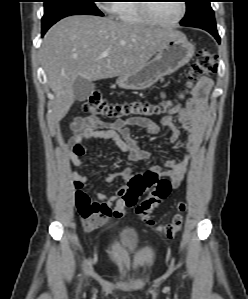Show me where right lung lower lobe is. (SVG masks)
I'll return each instance as SVG.
<instances>
[{"instance_id": "1", "label": "right lung lower lobe", "mask_w": 248, "mask_h": 299, "mask_svg": "<svg viewBox=\"0 0 248 299\" xmlns=\"http://www.w3.org/2000/svg\"><path fill=\"white\" fill-rule=\"evenodd\" d=\"M45 32H46V31H42V35H44V34H45Z\"/></svg>"}]
</instances>
